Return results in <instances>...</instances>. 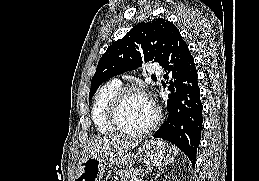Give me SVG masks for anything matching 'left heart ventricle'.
Instances as JSON below:
<instances>
[{"label": "left heart ventricle", "mask_w": 259, "mask_h": 181, "mask_svg": "<svg viewBox=\"0 0 259 181\" xmlns=\"http://www.w3.org/2000/svg\"><path fill=\"white\" fill-rule=\"evenodd\" d=\"M155 109L152 103L139 95L126 99L121 110V123L131 131H137L148 126L154 119Z\"/></svg>", "instance_id": "1"}]
</instances>
